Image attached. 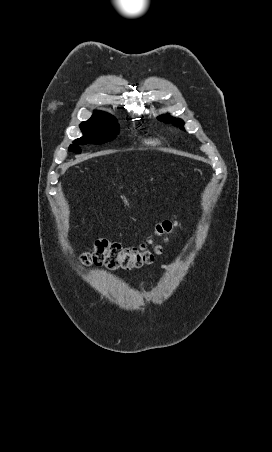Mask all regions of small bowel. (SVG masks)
<instances>
[{"instance_id":"1","label":"small bowel","mask_w":272,"mask_h":452,"mask_svg":"<svg viewBox=\"0 0 272 452\" xmlns=\"http://www.w3.org/2000/svg\"><path fill=\"white\" fill-rule=\"evenodd\" d=\"M172 266H173L172 263H165V264L161 265V268H162V269H167V268H170V267H172Z\"/></svg>"}]
</instances>
